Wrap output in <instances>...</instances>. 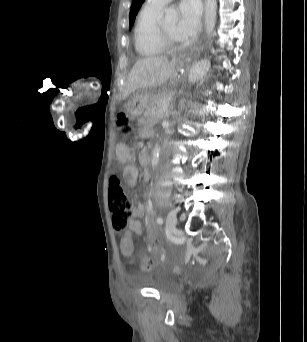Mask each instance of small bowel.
<instances>
[{
  "label": "small bowel",
  "mask_w": 307,
  "mask_h": 342,
  "mask_svg": "<svg viewBox=\"0 0 307 342\" xmlns=\"http://www.w3.org/2000/svg\"><path fill=\"white\" fill-rule=\"evenodd\" d=\"M137 156L139 162L141 163L142 157L146 156L145 152H139L135 154L127 147H123L120 150V158L127 163V166L124 169V179L128 186L134 187L138 181V170L134 164H132L133 158ZM142 165V163H141ZM149 173L146 170L144 172V178L148 179ZM145 213V206L141 203L137 204L133 209V217L129 223V225H133L134 230L133 232H143L141 223L139 218L143 216ZM121 240H132V239H121Z\"/></svg>",
  "instance_id": "1"
}]
</instances>
